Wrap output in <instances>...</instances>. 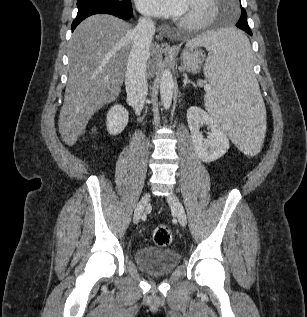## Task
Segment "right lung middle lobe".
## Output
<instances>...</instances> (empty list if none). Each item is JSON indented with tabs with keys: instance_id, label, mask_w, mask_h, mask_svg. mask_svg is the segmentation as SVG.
Here are the masks:
<instances>
[{
	"instance_id": "dd1d6c3e",
	"label": "right lung middle lobe",
	"mask_w": 307,
	"mask_h": 317,
	"mask_svg": "<svg viewBox=\"0 0 307 317\" xmlns=\"http://www.w3.org/2000/svg\"><path fill=\"white\" fill-rule=\"evenodd\" d=\"M102 3V4H108L115 7H122L124 5L130 4V0H78L77 1V7H80L82 5H86L89 3Z\"/></svg>"
}]
</instances>
